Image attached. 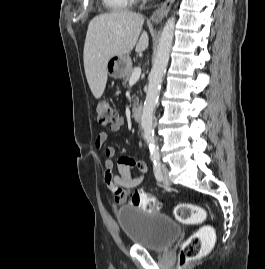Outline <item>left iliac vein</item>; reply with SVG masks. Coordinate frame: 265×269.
Returning <instances> with one entry per match:
<instances>
[{"label":"left iliac vein","mask_w":265,"mask_h":269,"mask_svg":"<svg viewBox=\"0 0 265 269\" xmlns=\"http://www.w3.org/2000/svg\"><path fill=\"white\" fill-rule=\"evenodd\" d=\"M168 173L169 170L166 167H162L163 183L167 186L171 185V180Z\"/></svg>","instance_id":"obj_1"}]
</instances>
